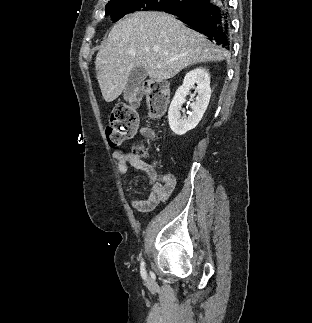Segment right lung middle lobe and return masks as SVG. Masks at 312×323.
Wrapping results in <instances>:
<instances>
[{
	"label": "right lung middle lobe",
	"mask_w": 312,
	"mask_h": 323,
	"mask_svg": "<svg viewBox=\"0 0 312 323\" xmlns=\"http://www.w3.org/2000/svg\"><path fill=\"white\" fill-rule=\"evenodd\" d=\"M186 0H111L106 5V15L116 22L128 13L148 10H164L177 7Z\"/></svg>",
	"instance_id": "1"
}]
</instances>
